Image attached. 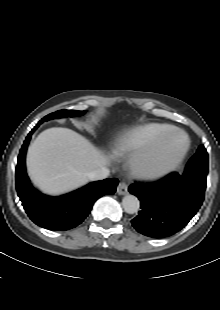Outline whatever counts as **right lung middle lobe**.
<instances>
[{
  "mask_svg": "<svg viewBox=\"0 0 220 310\" xmlns=\"http://www.w3.org/2000/svg\"><path fill=\"white\" fill-rule=\"evenodd\" d=\"M86 111H76V110H60V111H56L54 113H51L47 116H45L41 122L50 120V119H54V118H61V117H68V116H79V115H83Z\"/></svg>",
  "mask_w": 220,
  "mask_h": 310,
  "instance_id": "obj_1",
  "label": "right lung middle lobe"
}]
</instances>
